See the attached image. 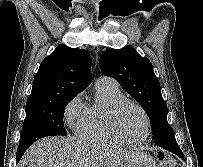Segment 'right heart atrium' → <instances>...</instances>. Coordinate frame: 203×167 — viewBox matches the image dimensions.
Instances as JSON below:
<instances>
[{"label":"right heart atrium","mask_w":203,"mask_h":167,"mask_svg":"<svg viewBox=\"0 0 203 167\" xmlns=\"http://www.w3.org/2000/svg\"><path fill=\"white\" fill-rule=\"evenodd\" d=\"M82 112H83L82 99L79 95H77L74 98H72L65 106L64 109L65 123L71 128H76L82 116Z\"/></svg>","instance_id":"obj_1"}]
</instances>
